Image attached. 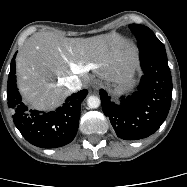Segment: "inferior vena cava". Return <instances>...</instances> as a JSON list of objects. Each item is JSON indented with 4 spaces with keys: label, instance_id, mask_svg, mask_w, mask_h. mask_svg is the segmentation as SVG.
<instances>
[{
    "label": "inferior vena cava",
    "instance_id": "602c4592",
    "mask_svg": "<svg viewBox=\"0 0 187 187\" xmlns=\"http://www.w3.org/2000/svg\"><path fill=\"white\" fill-rule=\"evenodd\" d=\"M81 86H82V83H81V80L78 78V76L71 75L67 78L66 87L70 91L72 92L78 91L81 89Z\"/></svg>",
    "mask_w": 187,
    "mask_h": 187
}]
</instances>
